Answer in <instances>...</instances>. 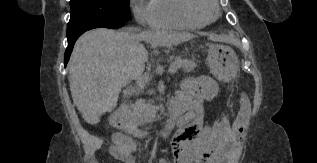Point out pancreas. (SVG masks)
Instances as JSON below:
<instances>
[{
    "label": "pancreas",
    "mask_w": 317,
    "mask_h": 163,
    "mask_svg": "<svg viewBox=\"0 0 317 163\" xmlns=\"http://www.w3.org/2000/svg\"><path fill=\"white\" fill-rule=\"evenodd\" d=\"M174 69L182 68L183 71L191 72L197 67V63L187 58L176 57L171 63ZM157 108L151 102L146 103L144 100H137L130 105L125 114V120L136 126H142L152 122L156 118Z\"/></svg>",
    "instance_id": "pancreas-1"
}]
</instances>
